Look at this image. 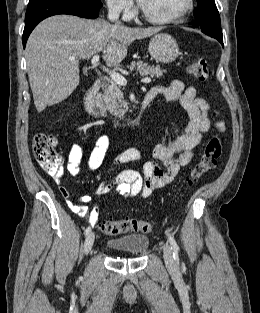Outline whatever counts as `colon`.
I'll return each instance as SVG.
<instances>
[{
    "label": "colon",
    "mask_w": 260,
    "mask_h": 313,
    "mask_svg": "<svg viewBox=\"0 0 260 313\" xmlns=\"http://www.w3.org/2000/svg\"><path fill=\"white\" fill-rule=\"evenodd\" d=\"M187 73L197 81L206 82L209 79L207 61L201 57L194 58L187 67ZM56 144L55 138L45 133H38L33 139L34 157L49 175H59L62 172L63 157L57 152ZM221 151V138L218 135L212 136L204 147L201 159L189 171L187 183L195 184L213 170ZM100 229L105 235L117 236L129 232L148 233L152 230V224L138 219L107 220L100 224Z\"/></svg>",
    "instance_id": "5ec220e1"
}]
</instances>
